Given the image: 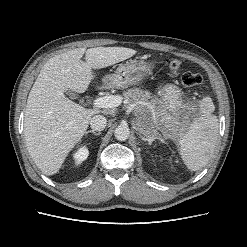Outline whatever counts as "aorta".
Masks as SVG:
<instances>
[{"instance_id":"obj_1","label":"aorta","mask_w":247,"mask_h":247,"mask_svg":"<svg viewBox=\"0 0 247 247\" xmlns=\"http://www.w3.org/2000/svg\"><path fill=\"white\" fill-rule=\"evenodd\" d=\"M129 135V128L125 125H119L114 131V136L119 141H126L129 138Z\"/></svg>"}]
</instances>
